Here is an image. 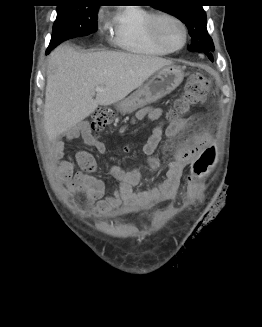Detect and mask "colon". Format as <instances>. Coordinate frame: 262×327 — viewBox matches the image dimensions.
Listing matches in <instances>:
<instances>
[{"instance_id": "1", "label": "colon", "mask_w": 262, "mask_h": 327, "mask_svg": "<svg viewBox=\"0 0 262 327\" xmlns=\"http://www.w3.org/2000/svg\"><path fill=\"white\" fill-rule=\"evenodd\" d=\"M210 91V82L199 72H193L187 78L184 91L180 98L174 104L173 109L169 112V119L176 120L177 117L188 113L191 109L201 104ZM114 120V113L109 109L96 110L91 119V127L96 132L102 131ZM214 151L205 150L193 165V173L197 176L203 174L208 166L212 163Z\"/></svg>"}]
</instances>
